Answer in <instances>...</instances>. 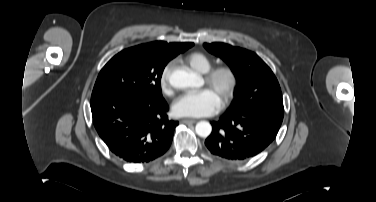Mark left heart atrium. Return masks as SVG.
<instances>
[{
    "label": "left heart atrium",
    "instance_id": "obj_1",
    "mask_svg": "<svg viewBox=\"0 0 376 202\" xmlns=\"http://www.w3.org/2000/svg\"><path fill=\"white\" fill-rule=\"evenodd\" d=\"M220 109V100L209 88L190 91L175 100L173 114L178 117L210 116Z\"/></svg>",
    "mask_w": 376,
    "mask_h": 202
}]
</instances>
